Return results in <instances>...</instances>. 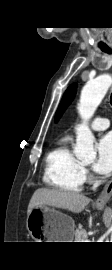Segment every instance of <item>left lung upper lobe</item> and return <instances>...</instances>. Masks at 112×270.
<instances>
[{"mask_svg": "<svg viewBox=\"0 0 112 270\" xmlns=\"http://www.w3.org/2000/svg\"><path fill=\"white\" fill-rule=\"evenodd\" d=\"M75 94H76V84H72L68 87V89L64 93L63 98L61 100V103L56 111V114H55V121L56 122L59 120V118L61 117V115L65 111V108L68 106V104L71 103Z\"/></svg>", "mask_w": 112, "mask_h": 270, "instance_id": "left-lung-upper-lobe-1", "label": "left lung upper lobe"}]
</instances>
